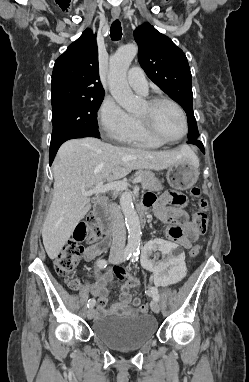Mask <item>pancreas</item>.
I'll return each instance as SVG.
<instances>
[{
	"label": "pancreas",
	"instance_id": "cf45deb5",
	"mask_svg": "<svg viewBox=\"0 0 249 382\" xmlns=\"http://www.w3.org/2000/svg\"><path fill=\"white\" fill-rule=\"evenodd\" d=\"M135 178L137 177H141L142 178V181H141V184H142V187L144 189H148V190H160L163 188L161 182L155 177L154 173H152L151 171H148V170H145V171H140V172H137L135 175H134ZM133 178V177H132ZM119 195L118 192H115L114 193V197L116 198L117 196Z\"/></svg>",
	"mask_w": 249,
	"mask_h": 382
}]
</instances>
